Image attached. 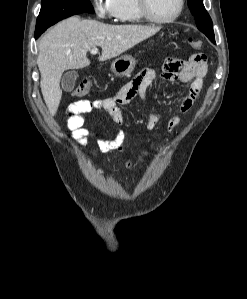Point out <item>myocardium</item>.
<instances>
[{
  "instance_id": "myocardium-1",
  "label": "myocardium",
  "mask_w": 247,
  "mask_h": 299,
  "mask_svg": "<svg viewBox=\"0 0 247 299\" xmlns=\"http://www.w3.org/2000/svg\"><path fill=\"white\" fill-rule=\"evenodd\" d=\"M137 5H138V9H139L141 16L145 20L150 21L155 24H168V23L174 22L175 20H177L180 17V15L183 11V8H184V0H178L177 11L175 12V14L173 16L166 18V19H159L152 15V13L150 12V9H149L148 0H137Z\"/></svg>"
}]
</instances>
